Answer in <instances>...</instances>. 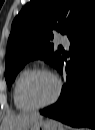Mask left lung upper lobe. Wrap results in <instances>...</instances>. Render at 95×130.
I'll return each instance as SVG.
<instances>
[{
  "mask_svg": "<svg viewBox=\"0 0 95 130\" xmlns=\"http://www.w3.org/2000/svg\"><path fill=\"white\" fill-rule=\"evenodd\" d=\"M95 12V0H32L16 16L5 58V79L11 87L17 73L30 60L43 59L56 68L61 59L54 51L53 31L71 37Z\"/></svg>",
  "mask_w": 95,
  "mask_h": 130,
  "instance_id": "obj_1",
  "label": "left lung upper lobe"
}]
</instances>
